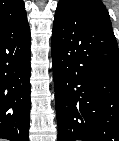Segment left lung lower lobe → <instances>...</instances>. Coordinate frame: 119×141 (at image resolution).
<instances>
[{"label":"left lung lower lobe","instance_id":"left-lung-lower-lobe-1","mask_svg":"<svg viewBox=\"0 0 119 141\" xmlns=\"http://www.w3.org/2000/svg\"><path fill=\"white\" fill-rule=\"evenodd\" d=\"M58 141H119V51L111 21L56 11Z\"/></svg>","mask_w":119,"mask_h":141}]
</instances>
